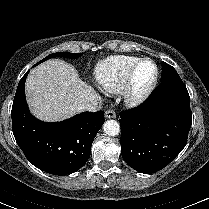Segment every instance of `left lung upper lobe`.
<instances>
[{
    "label": "left lung upper lobe",
    "mask_w": 209,
    "mask_h": 209,
    "mask_svg": "<svg viewBox=\"0 0 209 209\" xmlns=\"http://www.w3.org/2000/svg\"><path fill=\"white\" fill-rule=\"evenodd\" d=\"M172 79H181L178 73L176 72L175 68L171 65L162 62V75H161V82L166 80Z\"/></svg>",
    "instance_id": "obj_1"
}]
</instances>
